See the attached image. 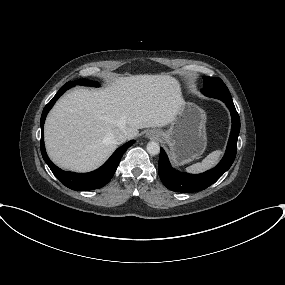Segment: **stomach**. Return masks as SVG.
I'll return each instance as SVG.
<instances>
[{
	"label": "stomach",
	"instance_id": "1",
	"mask_svg": "<svg viewBox=\"0 0 285 285\" xmlns=\"http://www.w3.org/2000/svg\"><path fill=\"white\" fill-rule=\"evenodd\" d=\"M206 113L192 102L182 101L168 130L159 135L168 144L176 165H184L198 158L206 149Z\"/></svg>",
	"mask_w": 285,
	"mask_h": 285
}]
</instances>
